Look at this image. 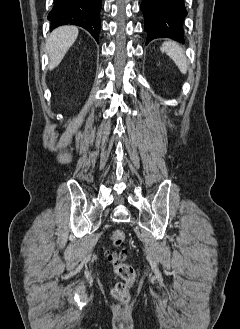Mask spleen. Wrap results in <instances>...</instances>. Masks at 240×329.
<instances>
[{
    "mask_svg": "<svg viewBox=\"0 0 240 329\" xmlns=\"http://www.w3.org/2000/svg\"><path fill=\"white\" fill-rule=\"evenodd\" d=\"M163 53H166L177 65L181 73L186 74L188 69V62L183 48L173 41H167L162 44L160 48Z\"/></svg>",
    "mask_w": 240,
    "mask_h": 329,
    "instance_id": "obj_1",
    "label": "spleen"
}]
</instances>
